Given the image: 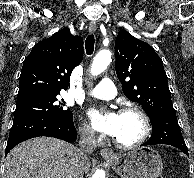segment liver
<instances>
[{"label": "liver", "instance_id": "obj_1", "mask_svg": "<svg viewBox=\"0 0 194 178\" xmlns=\"http://www.w3.org/2000/svg\"><path fill=\"white\" fill-rule=\"evenodd\" d=\"M80 159L74 145L52 137H37L9 152L3 178H72ZM90 165L88 160L85 172Z\"/></svg>", "mask_w": 194, "mask_h": 178}]
</instances>
